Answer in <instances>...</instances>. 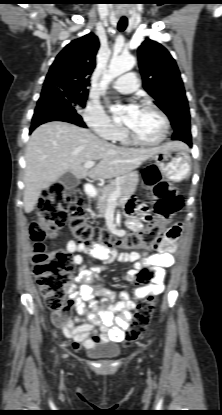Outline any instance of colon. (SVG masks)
Returning a JSON list of instances; mask_svg holds the SVG:
<instances>
[{
    "label": "colon",
    "instance_id": "5ec220e1",
    "mask_svg": "<svg viewBox=\"0 0 222 415\" xmlns=\"http://www.w3.org/2000/svg\"><path fill=\"white\" fill-rule=\"evenodd\" d=\"M143 179L148 193L155 199V217L151 218L150 225L145 230L130 234L119 241L121 246L130 251L156 248L167 233L168 220L178 211L182 202L177 190L161 179L156 166H146ZM61 228H67L75 243L92 252L105 250L117 243L109 231L97 227L88 219L75 190L65 187L62 183L49 186L39 200L30 233L34 243V274L46 306L51 310L63 308L74 267V258L70 252L49 249L48 240ZM149 279L148 271L144 270L139 274L140 283ZM156 304L153 296L145 297L138 302L126 335L127 345L136 341L147 329Z\"/></svg>",
    "mask_w": 222,
    "mask_h": 415
}]
</instances>
